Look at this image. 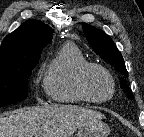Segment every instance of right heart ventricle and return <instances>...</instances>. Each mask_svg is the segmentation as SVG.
I'll use <instances>...</instances> for the list:
<instances>
[{"label":"right heart ventricle","mask_w":144,"mask_h":137,"mask_svg":"<svg viewBox=\"0 0 144 137\" xmlns=\"http://www.w3.org/2000/svg\"><path fill=\"white\" fill-rule=\"evenodd\" d=\"M86 63L87 59L74 43H65L58 49L43 72V87L51 101L59 104L85 102L77 91L76 78Z\"/></svg>","instance_id":"right-heart-ventricle-1"}]
</instances>
